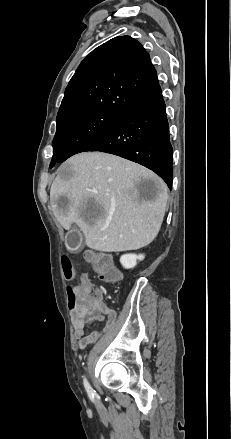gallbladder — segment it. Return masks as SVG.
Returning a JSON list of instances; mask_svg holds the SVG:
<instances>
[{"instance_id":"gallbladder-1","label":"gallbladder","mask_w":231,"mask_h":439,"mask_svg":"<svg viewBox=\"0 0 231 439\" xmlns=\"http://www.w3.org/2000/svg\"><path fill=\"white\" fill-rule=\"evenodd\" d=\"M65 243L70 251L78 252L83 248V235L80 230L73 227L66 235Z\"/></svg>"}]
</instances>
